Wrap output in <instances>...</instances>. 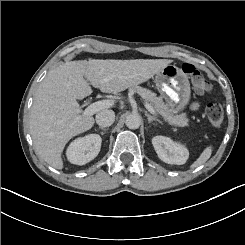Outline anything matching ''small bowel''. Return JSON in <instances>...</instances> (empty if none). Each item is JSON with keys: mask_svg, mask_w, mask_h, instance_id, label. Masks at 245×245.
I'll return each instance as SVG.
<instances>
[{"mask_svg": "<svg viewBox=\"0 0 245 245\" xmlns=\"http://www.w3.org/2000/svg\"><path fill=\"white\" fill-rule=\"evenodd\" d=\"M198 107H199V103H198V102H196V103H194V104L192 105V109H193V110L198 109Z\"/></svg>", "mask_w": 245, "mask_h": 245, "instance_id": "obj_1", "label": "small bowel"}]
</instances>
